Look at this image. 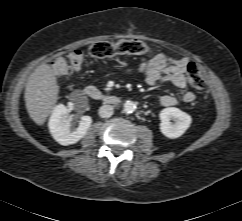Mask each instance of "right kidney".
<instances>
[{
	"label": "right kidney",
	"instance_id": "obj_1",
	"mask_svg": "<svg viewBox=\"0 0 242 221\" xmlns=\"http://www.w3.org/2000/svg\"><path fill=\"white\" fill-rule=\"evenodd\" d=\"M69 111L63 105H57L49 119V130L53 138L61 145L67 146L77 143L82 139L91 126L92 118L83 116L76 129H71L68 120Z\"/></svg>",
	"mask_w": 242,
	"mask_h": 221
}]
</instances>
